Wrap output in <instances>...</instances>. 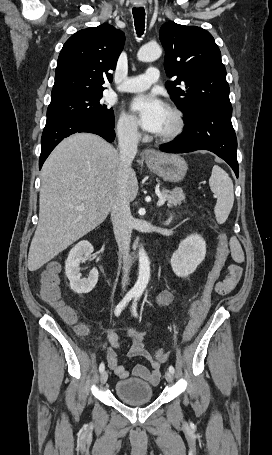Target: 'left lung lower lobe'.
<instances>
[{"label": "left lung lower lobe", "mask_w": 272, "mask_h": 455, "mask_svg": "<svg viewBox=\"0 0 272 455\" xmlns=\"http://www.w3.org/2000/svg\"><path fill=\"white\" fill-rule=\"evenodd\" d=\"M232 106H213L185 120L184 131L160 147L167 153L209 150L225 160L238 177L237 139L231 123Z\"/></svg>", "instance_id": "obj_1"}]
</instances>
